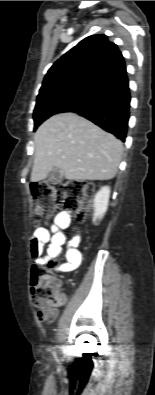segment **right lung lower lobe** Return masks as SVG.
Masks as SVG:
<instances>
[{
	"mask_svg": "<svg viewBox=\"0 0 155 395\" xmlns=\"http://www.w3.org/2000/svg\"><path fill=\"white\" fill-rule=\"evenodd\" d=\"M130 99L129 81L125 71L107 79L95 92L67 111L78 113L124 142Z\"/></svg>",
	"mask_w": 155,
	"mask_h": 395,
	"instance_id": "1",
	"label": "right lung lower lobe"
}]
</instances>
